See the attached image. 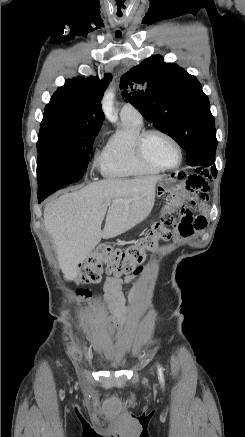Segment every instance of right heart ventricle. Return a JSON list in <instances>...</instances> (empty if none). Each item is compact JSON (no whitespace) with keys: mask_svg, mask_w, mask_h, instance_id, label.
<instances>
[{"mask_svg":"<svg viewBox=\"0 0 245 437\" xmlns=\"http://www.w3.org/2000/svg\"><path fill=\"white\" fill-rule=\"evenodd\" d=\"M144 130L142 120L121 117L117 131L108 140L99 159L100 169L105 176L129 178L161 172L145 164L136 153V138Z\"/></svg>","mask_w":245,"mask_h":437,"instance_id":"obj_1","label":"right heart ventricle"}]
</instances>
